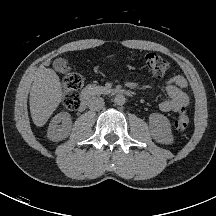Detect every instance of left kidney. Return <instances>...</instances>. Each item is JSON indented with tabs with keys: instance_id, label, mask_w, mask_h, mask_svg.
Here are the masks:
<instances>
[{
	"instance_id": "left-kidney-1",
	"label": "left kidney",
	"mask_w": 216,
	"mask_h": 216,
	"mask_svg": "<svg viewBox=\"0 0 216 216\" xmlns=\"http://www.w3.org/2000/svg\"><path fill=\"white\" fill-rule=\"evenodd\" d=\"M149 129L153 139L156 142L167 145L173 143L170 121L163 114H150Z\"/></svg>"
}]
</instances>
